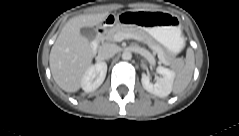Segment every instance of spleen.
Segmentation results:
<instances>
[{
  "label": "spleen",
  "instance_id": "obj_1",
  "mask_svg": "<svg viewBox=\"0 0 239 136\" xmlns=\"http://www.w3.org/2000/svg\"><path fill=\"white\" fill-rule=\"evenodd\" d=\"M194 70V54L191 49L187 51L186 63L184 68L177 74L173 92L180 94L189 85Z\"/></svg>",
  "mask_w": 239,
  "mask_h": 136
}]
</instances>
